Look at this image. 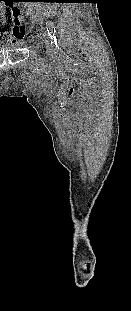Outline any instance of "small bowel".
Masks as SVG:
<instances>
[{
    "instance_id": "small-bowel-1",
    "label": "small bowel",
    "mask_w": 131,
    "mask_h": 311,
    "mask_svg": "<svg viewBox=\"0 0 131 311\" xmlns=\"http://www.w3.org/2000/svg\"><path fill=\"white\" fill-rule=\"evenodd\" d=\"M32 16L36 20H41L43 18L42 13H34ZM9 35L10 37H12L13 42L18 41V43H24V44L33 42L35 38L34 33H27L24 29H21V28L14 29L12 32L9 33ZM6 37H7V33L0 32V40L5 41Z\"/></svg>"
}]
</instances>
